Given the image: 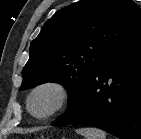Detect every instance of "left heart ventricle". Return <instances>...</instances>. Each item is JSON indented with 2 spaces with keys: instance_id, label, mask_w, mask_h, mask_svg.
<instances>
[{
  "instance_id": "1",
  "label": "left heart ventricle",
  "mask_w": 141,
  "mask_h": 139,
  "mask_svg": "<svg viewBox=\"0 0 141 139\" xmlns=\"http://www.w3.org/2000/svg\"><path fill=\"white\" fill-rule=\"evenodd\" d=\"M56 94L54 91L46 89L38 92L32 101V109L38 114L42 115L47 113L56 102Z\"/></svg>"
}]
</instances>
